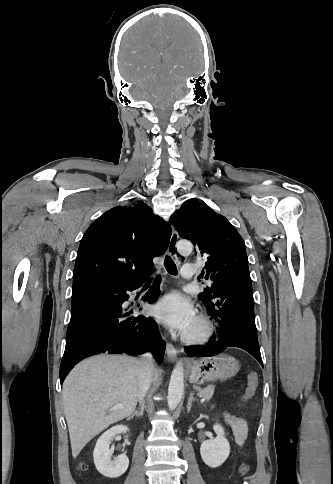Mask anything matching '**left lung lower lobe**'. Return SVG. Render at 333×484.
I'll use <instances>...</instances> for the list:
<instances>
[{
  "mask_svg": "<svg viewBox=\"0 0 333 484\" xmlns=\"http://www.w3.org/2000/svg\"><path fill=\"white\" fill-rule=\"evenodd\" d=\"M215 283L218 300L207 305V313L218 323V336L205 345L187 348V355L214 356L228 347H239L253 355L263 367L248 264L225 266L217 273Z\"/></svg>",
  "mask_w": 333,
  "mask_h": 484,
  "instance_id": "obj_1",
  "label": "left lung lower lobe"
}]
</instances>
